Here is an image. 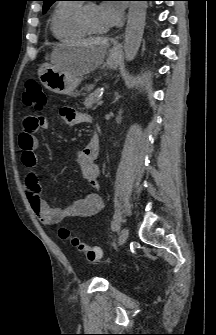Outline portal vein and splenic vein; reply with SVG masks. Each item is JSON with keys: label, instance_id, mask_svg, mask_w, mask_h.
Wrapping results in <instances>:
<instances>
[{"label": "portal vein and splenic vein", "instance_id": "1", "mask_svg": "<svg viewBox=\"0 0 216 335\" xmlns=\"http://www.w3.org/2000/svg\"><path fill=\"white\" fill-rule=\"evenodd\" d=\"M103 103H104V101L102 99H99L98 105H102Z\"/></svg>", "mask_w": 216, "mask_h": 335}]
</instances>
